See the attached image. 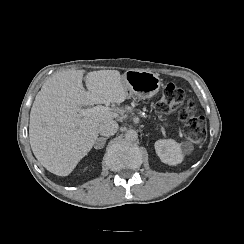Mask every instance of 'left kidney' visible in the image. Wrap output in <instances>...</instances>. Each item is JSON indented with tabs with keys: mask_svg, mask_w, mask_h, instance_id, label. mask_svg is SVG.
Here are the masks:
<instances>
[{
	"mask_svg": "<svg viewBox=\"0 0 244 244\" xmlns=\"http://www.w3.org/2000/svg\"><path fill=\"white\" fill-rule=\"evenodd\" d=\"M155 151L160 160L168 165H177L183 161L181 144L173 139H160L155 142Z\"/></svg>",
	"mask_w": 244,
	"mask_h": 244,
	"instance_id": "obj_1",
	"label": "left kidney"
}]
</instances>
